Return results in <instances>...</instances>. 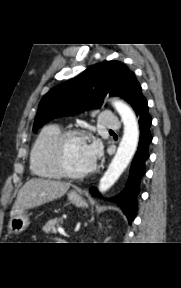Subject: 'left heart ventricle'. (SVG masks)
<instances>
[{
    "mask_svg": "<svg viewBox=\"0 0 181 288\" xmlns=\"http://www.w3.org/2000/svg\"><path fill=\"white\" fill-rule=\"evenodd\" d=\"M64 159L67 167L72 171L82 172L87 170L92 165V162L87 154L86 140H70L65 146Z\"/></svg>",
    "mask_w": 181,
    "mask_h": 288,
    "instance_id": "1",
    "label": "left heart ventricle"
}]
</instances>
